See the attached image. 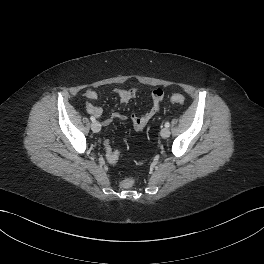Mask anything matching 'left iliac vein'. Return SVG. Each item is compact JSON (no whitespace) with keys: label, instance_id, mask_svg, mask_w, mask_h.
<instances>
[{"label":"left iliac vein","instance_id":"obj_1","mask_svg":"<svg viewBox=\"0 0 264 264\" xmlns=\"http://www.w3.org/2000/svg\"><path fill=\"white\" fill-rule=\"evenodd\" d=\"M160 134L163 138H168L170 136V130L165 127L161 130Z\"/></svg>","mask_w":264,"mask_h":264}]
</instances>
